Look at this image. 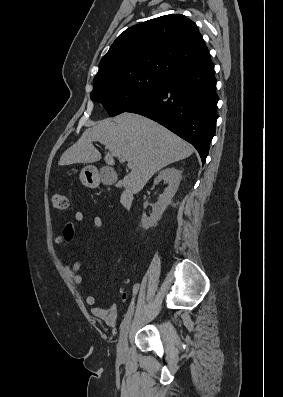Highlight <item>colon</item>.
<instances>
[{
	"mask_svg": "<svg viewBox=\"0 0 283 397\" xmlns=\"http://www.w3.org/2000/svg\"><path fill=\"white\" fill-rule=\"evenodd\" d=\"M53 207L57 210H64L68 207V199L65 195L56 193L52 196Z\"/></svg>",
	"mask_w": 283,
	"mask_h": 397,
	"instance_id": "obj_1",
	"label": "colon"
}]
</instances>
